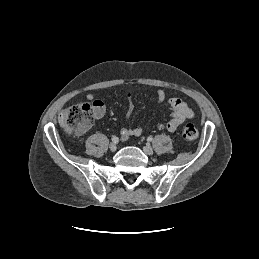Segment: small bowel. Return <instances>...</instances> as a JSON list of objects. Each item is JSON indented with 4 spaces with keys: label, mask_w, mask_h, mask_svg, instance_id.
<instances>
[{
    "label": "small bowel",
    "mask_w": 259,
    "mask_h": 259,
    "mask_svg": "<svg viewBox=\"0 0 259 259\" xmlns=\"http://www.w3.org/2000/svg\"><path fill=\"white\" fill-rule=\"evenodd\" d=\"M128 98L130 99L132 94L131 92L127 93ZM86 98L90 101H93L95 105V117L101 118L104 115L105 107L104 103L96 98L94 93H88ZM156 100L158 103H164L166 101V94L163 90H158L156 93ZM167 104L171 110V119L166 123H160L158 127L160 129H165L167 131H175L185 120L191 119L194 117V111L192 108L180 98H170L167 101ZM134 110V105L131 100H129L127 107L126 120L128 121ZM143 132L141 127L128 128L124 127L121 129V138L122 140H127L133 136H139Z\"/></svg>",
    "instance_id": "small-bowel-1"
}]
</instances>
